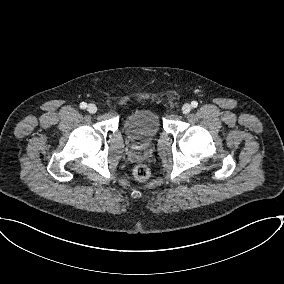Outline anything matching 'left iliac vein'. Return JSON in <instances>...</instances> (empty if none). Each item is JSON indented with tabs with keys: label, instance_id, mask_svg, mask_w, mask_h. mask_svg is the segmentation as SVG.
Masks as SVG:
<instances>
[{
	"label": "left iliac vein",
	"instance_id": "1",
	"mask_svg": "<svg viewBox=\"0 0 284 284\" xmlns=\"http://www.w3.org/2000/svg\"><path fill=\"white\" fill-rule=\"evenodd\" d=\"M192 107L190 104L186 103L182 106V112L188 114L191 111Z\"/></svg>",
	"mask_w": 284,
	"mask_h": 284
}]
</instances>
